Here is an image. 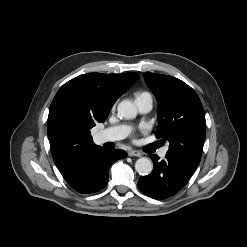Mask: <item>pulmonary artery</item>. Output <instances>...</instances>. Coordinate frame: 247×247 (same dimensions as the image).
I'll use <instances>...</instances> for the list:
<instances>
[{"mask_svg": "<svg viewBox=\"0 0 247 247\" xmlns=\"http://www.w3.org/2000/svg\"><path fill=\"white\" fill-rule=\"evenodd\" d=\"M136 106L141 114H146L151 111L153 103L151 98H141L136 100ZM130 129L125 125H118L114 127L107 128L98 134V140L100 142H111L117 141L125 138ZM167 153V148H163L160 151V156L165 157Z\"/></svg>", "mask_w": 247, "mask_h": 247, "instance_id": "1", "label": "pulmonary artery"}]
</instances>
